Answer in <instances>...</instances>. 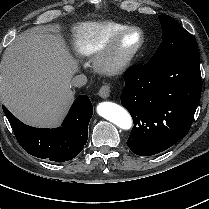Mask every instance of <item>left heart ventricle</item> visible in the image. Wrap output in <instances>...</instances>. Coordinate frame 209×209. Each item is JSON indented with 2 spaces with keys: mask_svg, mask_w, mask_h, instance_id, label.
I'll use <instances>...</instances> for the list:
<instances>
[{
  "mask_svg": "<svg viewBox=\"0 0 209 209\" xmlns=\"http://www.w3.org/2000/svg\"><path fill=\"white\" fill-rule=\"evenodd\" d=\"M140 42V35L138 33H132L124 37L120 42L118 53L126 54L134 49Z\"/></svg>",
  "mask_w": 209,
  "mask_h": 209,
  "instance_id": "1",
  "label": "left heart ventricle"
}]
</instances>
